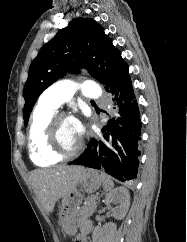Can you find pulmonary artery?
<instances>
[{
	"mask_svg": "<svg viewBox=\"0 0 187 242\" xmlns=\"http://www.w3.org/2000/svg\"><path fill=\"white\" fill-rule=\"evenodd\" d=\"M78 89L88 98L96 99L100 95V87L93 81L77 83L72 80H62L46 89L40 97V102L57 109L71 99Z\"/></svg>",
	"mask_w": 187,
	"mask_h": 242,
	"instance_id": "e3ab8cb5",
	"label": "pulmonary artery"
}]
</instances>
